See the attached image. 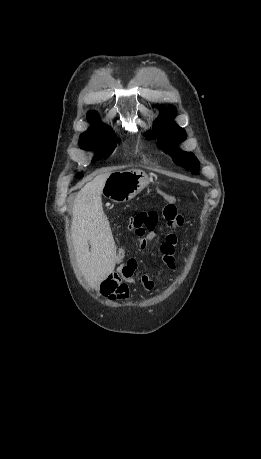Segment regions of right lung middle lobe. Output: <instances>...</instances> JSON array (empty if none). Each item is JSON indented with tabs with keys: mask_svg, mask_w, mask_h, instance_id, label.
Segmentation results:
<instances>
[{
	"mask_svg": "<svg viewBox=\"0 0 261 459\" xmlns=\"http://www.w3.org/2000/svg\"><path fill=\"white\" fill-rule=\"evenodd\" d=\"M116 136L114 132L101 131L94 133H86L80 136L79 145L82 149H96L94 160H98L110 155L116 147ZM77 177H82V173Z\"/></svg>",
	"mask_w": 261,
	"mask_h": 459,
	"instance_id": "dd1d6c3e",
	"label": "right lung middle lobe"
}]
</instances>
